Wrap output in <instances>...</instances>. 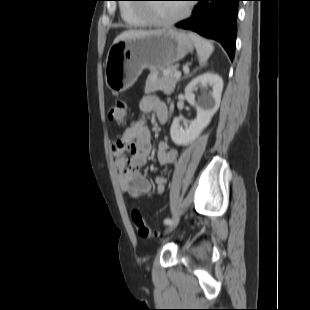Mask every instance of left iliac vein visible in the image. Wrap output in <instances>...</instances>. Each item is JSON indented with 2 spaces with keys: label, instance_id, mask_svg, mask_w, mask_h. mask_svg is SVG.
<instances>
[{
  "label": "left iliac vein",
  "instance_id": "left-iliac-vein-1",
  "mask_svg": "<svg viewBox=\"0 0 310 310\" xmlns=\"http://www.w3.org/2000/svg\"><path fill=\"white\" fill-rule=\"evenodd\" d=\"M179 223V216H176L173 220L172 223L168 225V228L166 229V232H170L173 230Z\"/></svg>",
  "mask_w": 310,
  "mask_h": 310
}]
</instances>
